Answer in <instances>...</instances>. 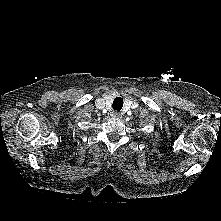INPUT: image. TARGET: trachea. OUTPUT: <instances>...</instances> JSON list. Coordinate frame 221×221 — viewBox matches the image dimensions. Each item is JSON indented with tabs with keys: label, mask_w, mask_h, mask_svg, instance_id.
I'll use <instances>...</instances> for the list:
<instances>
[{
	"label": "trachea",
	"mask_w": 221,
	"mask_h": 221,
	"mask_svg": "<svg viewBox=\"0 0 221 221\" xmlns=\"http://www.w3.org/2000/svg\"><path fill=\"white\" fill-rule=\"evenodd\" d=\"M113 109L120 111L123 107V99L121 97H117L113 101Z\"/></svg>",
	"instance_id": "1"
}]
</instances>
